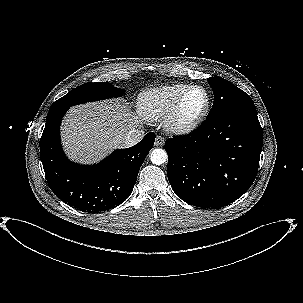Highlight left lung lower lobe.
I'll use <instances>...</instances> for the list:
<instances>
[{
	"instance_id": "0a47b994",
	"label": "left lung lower lobe",
	"mask_w": 303,
	"mask_h": 303,
	"mask_svg": "<svg viewBox=\"0 0 303 303\" xmlns=\"http://www.w3.org/2000/svg\"><path fill=\"white\" fill-rule=\"evenodd\" d=\"M262 139L256 110L206 119L192 133L167 139L173 191L198 207L218 208L235 201L256 178Z\"/></svg>"
}]
</instances>
